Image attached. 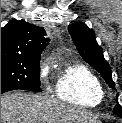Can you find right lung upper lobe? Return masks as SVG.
Listing matches in <instances>:
<instances>
[{
    "label": "right lung upper lobe",
    "mask_w": 122,
    "mask_h": 123,
    "mask_svg": "<svg viewBox=\"0 0 122 123\" xmlns=\"http://www.w3.org/2000/svg\"><path fill=\"white\" fill-rule=\"evenodd\" d=\"M42 27L11 20L1 29V55L39 57L48 44Z\"/></svg>",
    "instance_id": "obj_1"
}]
</instances>
